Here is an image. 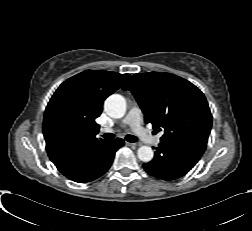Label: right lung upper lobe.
Listing matches in <instances>:
<instances>
[{"instance_id": "1", "label": "right lung upper lobe", "mask_w": 252, "mask_h": 231, "mask_svg": "<svg viewBox=\"0 0 252 231\" xmlns=\"http://www.w3.org/2000/svg\"><path fill=\"white\" fill-rule=\"evenodd\" d=\"M128 74L87 70L63 82L44 114L43 134L50 160L70 178L77 174L83 155L106 141L98 140L104 100L127 79Z\"/></svg>"}]
</instances>
